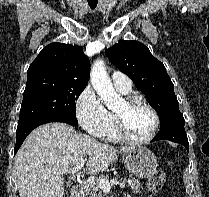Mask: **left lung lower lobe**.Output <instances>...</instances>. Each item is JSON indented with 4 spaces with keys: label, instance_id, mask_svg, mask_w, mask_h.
<instances>
[{
    "label": "left lung lower lobe",
    "instance_id": "1",
    "mask_svg": "<svg viewBox=\"0 0 209 197\" xmlns=\"http://www.w3.org/2000/svg\"><path fill=\"white\" fill-rule=\"evenodd\" d=\"M157 140H170L172 142L182 144L185 146L187 151H189V142L184 125H173L161 130L152 141Z\"/></svg>",
    "mask_w": 209,
    "mask_h": 197
}]
</instances>
